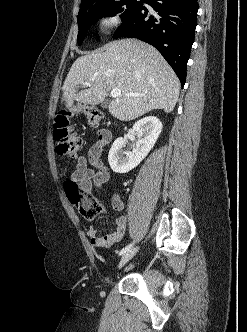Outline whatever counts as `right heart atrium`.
<instances>
[{
	"label": "right heart atrium",
	"instance_id": "1",
	"mask_svg": "<svg viewBox=\"0 0 247 332\" xmlns=\"http://www.w3.org/2000/svg\"><path fill=\"white\" fill-rule=\"evenodd\" d=\"M120 24V16L116 13L105 14L100 20V26L106 32L116 30L120 26Z\"/></svg>",
	"mask_w": 247,
	"mask_h": 332
}]
</instances>
